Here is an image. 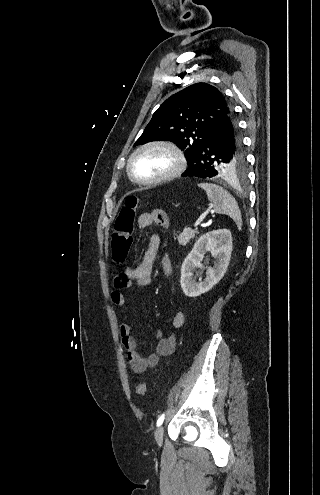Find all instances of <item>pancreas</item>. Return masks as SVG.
Wrapping results in <instances>:
<instances>
[{"instance_id": "obj_1", "label": "pancreas", "mask_w": 320, "mask_h": 495, "mask_svg": "<svg viewBox=\"0 0 320 495\" xmlns=\"http://www.w3.org/2000/svg\"><path fill=\"white\" fill-rule=\"evenodd\" d=\"M198 233L197 229L186 228L177 236L179 245L185 246Z\"/></svg>"}]
</instances>
